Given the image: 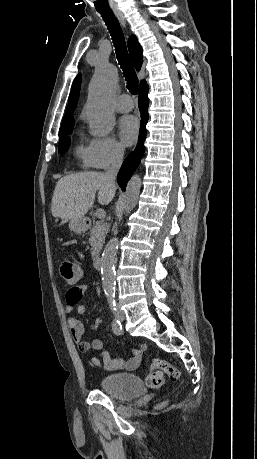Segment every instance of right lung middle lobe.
I'll list each match as a JSON object with an SVG mask.
<instances>
[{
  "label": "right lung middle lobe",
  "mask_w": 257,
  "mask_h": 459,
  "mask_svg": "<svg viewBox=\"0 0 257 459\" xmlns=\"http://www.w3.org/2000/svg\"><path fill=\"white\" fill-rule=\"evenodd\" d=\"M73 128H69L66 130H63L59 135V143H58V152L59 153H65L70 145V138L68 135L72 133Z\"/></svg>",
  "instance_id": "right-lung-middle-lobe-1"
}]
</instances>
